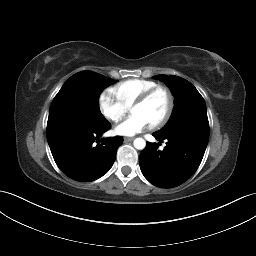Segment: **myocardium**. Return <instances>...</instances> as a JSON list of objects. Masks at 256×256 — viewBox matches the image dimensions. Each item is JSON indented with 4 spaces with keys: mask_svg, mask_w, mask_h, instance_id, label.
Returning <instances> with one entry per match:
<instances>
[{
    "mask_svg": "<svg viewBox=\"0 0 256 256\" xmlns=\"http://www.w3.org/2000/svg\"><path fill=\"white\" fill-rule=\"evenodd\" d=\"M158 92H163L167 96L168 105H167V109H166L165 113L163 114V116L159 120L150 124V126L152 128L162 127L164 124L167 123V121L171 117L173 109H174V105H175L174 95L171 92V90L169 88H167L166 86L157 85V86L145 91L142 95H140L136 99V101L133 104V107L146 104Z\"/></svg>",
    "mask_w": 256,
    "mask_h": 256,
    "instance_id": "myocardium-1",
    "label": "myocardium"
}]
</instances>
